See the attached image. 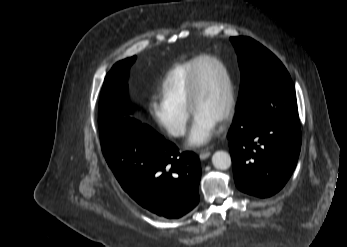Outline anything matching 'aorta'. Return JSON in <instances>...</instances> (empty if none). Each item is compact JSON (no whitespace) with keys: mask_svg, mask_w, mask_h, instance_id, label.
<instances>
[{"mask_svg":"<svg viewBox=\"0 0 347 247\" xmlns=\"http://www.w3.org/2000/svg\"><path fill=\"white\" fill-rule=\"evenodd\" d=\"M212 163L216 169L227 170L232 164L231 156L225 151H216L212 156Z\"/></svg>","mask_w":347,"mask_h":247,"instance_id":"aorta-1","label":"aorta"}]
</instances>
